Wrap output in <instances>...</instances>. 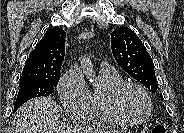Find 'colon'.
I'll return each instance as SVG.
<instances>
[{
	"label": "colon",
	"mask_w": 184,
	"mask_h": 133,
	"mask_svg": "<svg viewBox=\"0 0 184 133\" xmlns=\"http://www.w3.org/2000/svg\"><path fill=\"white\" fill-rule=\"evenodd\" d=\"M153 133H166V130L163 126L157 125L153 129Z\"/></svg>",
	"instance_id": "1"
}]
</instances>
